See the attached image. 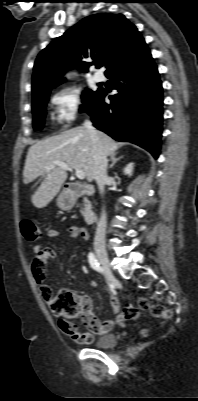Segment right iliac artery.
I'll return each mask as SVG.
<instances>
[{
	"label": "right iliac artery",
	"instance_id": "1",
	"mask_svg": "<svg viewBox=\"0 0 198 401\" xmlns=\"http://www.w3.org/2000/svg\"><path fill=\"white\" fill-rule=\"evenodd\" d=\"M88 260H89V263H90L91 267L94 270L98 271L100 269V265H99L95 255L93 253H89Z\"/></svg>",
	"mask_w": 198,
	"mask_h": 401
}]
</instances>
